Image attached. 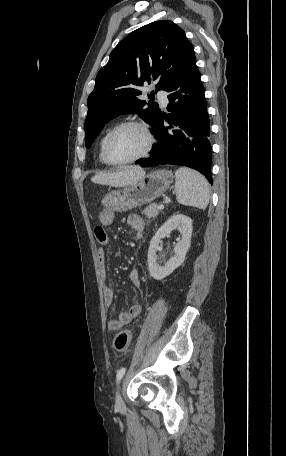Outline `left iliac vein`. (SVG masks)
<instances>
[{
    "instance_id": "left-iliac-vein-1",
    "label": "left iliac vein",
    "mask_w": 286,
    "mask_h": 456,
    "mask_svg": "<svg viewBox=\"0 0 286 456\" xmlns=\"http://www.w3.org/2000/svg\"><path fill=\"white\" fill-rule=\"evenodd\" d=\"M115 403H116V407L119 408V409H122L125 406L119 389L116 391Z\"/></svg>"
}]
</instances>
